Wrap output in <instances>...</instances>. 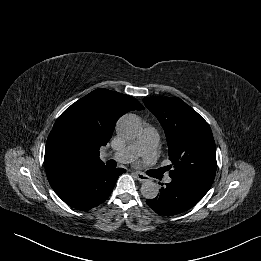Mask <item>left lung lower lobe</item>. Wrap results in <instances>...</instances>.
<instances>
[{
	"label": "left lung lower lobe",
	"mask_w": 261,
	"mask_h": 261,
	"mask_svg": "<svg viewBox=\"0 0 261 261\" xmlns=\"http://www.w3.org/2000/svg\"><path fill=\"white\" fill-rule=\"evenodd\" d=\"M211 185L193 177L172 178L170 183L160 189V194L156 198L146 200V203L160 215H176L196 205Z\"/></svg>",
	"instance_id": "0a47b994"
}]
</instances>
